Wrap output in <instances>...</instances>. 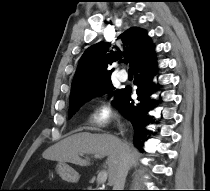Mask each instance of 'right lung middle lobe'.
Here are the masks:
<instances>
[{
    "instance_id": "1",
    "label": "right lung middle lobe",
    "mask_w": 210,
    "mask_h": 191,
    "mask_svg": "<svg viewBox=\"0 0 210 191\" xmlns=\"http://www.w3.org/2000/svg\"><path fill=\"white\" fill-rule=\"evenodd\" d=\"M113 89L114 88H113L112 82L110 80L86 94H83V95L78 96L74 99H71L70 100V109H69L70 116L74 115L85 102H87L88 100L92 99L95 96H100V95H103V94L109 92L110 96L114 95L116 98V96L119 94L121 89L112 91Z\"/></svg>"
}]
</instances>
